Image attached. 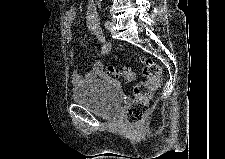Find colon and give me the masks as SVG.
Listing matches in <instances>:
<instances>
[{"instance_id": "obj_1", "label": "colon", "mask_w": 225, "mask_h": 159, "mask_svg": "<svg viewBox=\"0 0 225 159\" xmlns=\"http://www.w3.org/2000/svg\"><path fill=\"white\" fill-rule=\"evenodd\" d=\"M142 71L146 81L139 82L134 87V98L126 109L125 120L128 124L137 126L146 116L152 100L154 90L162 81V69L153 60L141 58ZM108 73L121 77L128 82L136 79V71L131 68L118 69L114 66L108 67Z\"/></svg>"}]
</instances>
